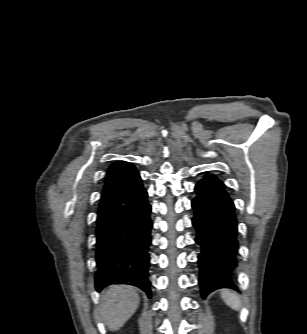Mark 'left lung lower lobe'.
Returning <instances> with one entry per match:
<instances>
[{"label":"left lung lower lobe","mask_w":307,"mask_h":334,"mask_svg":"<svg viewBox=\"0 0 307 334\" xmlns=\"http://www.w3.org/2000/svg\"><path fill=\"white\" fill-rule=\"evenodd\" d=\"M192 200L197 230L195 241L201 246L198 255L199 284L202 297L220 288L237 290L234 270L237 266V219L233 201L224 184L213 175H206L195 186Z\"/></svg>","instance_id":"obj_1"}]
</instances>
